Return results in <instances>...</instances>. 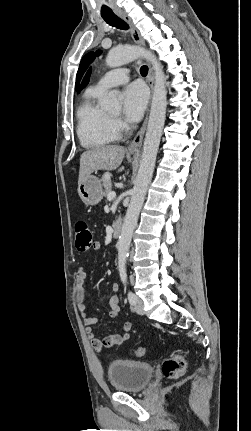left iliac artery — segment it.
Wrapping results in <instances>:
<instances>
[{
	"instance_id": "obj_1",
	"label": "left iliac artery",
	"mask_w": 251,
	"mask_h": 431,
	"mask_svg": "<svg viewBox=\"0 0 251 431\" xmlns=\"http://www.w3.org/2000/svg\"><path fill=\"white\" fill-rule=\"evenodd\" d=\"M119 272H120V277H121V281H122V283L126 286V283H127V272H126V268L125 267H120L119 268ZM128 300H129V303L131 304V305H134V303H135V295L131 292V291H129L128 292Z\"/></svg>"
}]
</instances>
